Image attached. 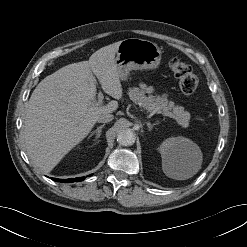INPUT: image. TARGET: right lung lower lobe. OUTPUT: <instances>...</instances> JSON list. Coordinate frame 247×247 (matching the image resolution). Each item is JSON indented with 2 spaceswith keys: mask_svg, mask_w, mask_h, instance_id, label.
Listing matches in <instances>:
<instances>
[{
  "mask_svg": "<svg viewBox=\"0 0 247 247\" xmlns=\"http://www.w3.org/2000/svg\"><path fill=\"white\" fill-rule=\"evenodd\" d=\"M54 181H58V182H64V183H71V182H79V181H83L85 179V177H80V178H71V179H56V178H51Z\"/></svg>",
  "mask_w": 247,
  "mask_h": 247,
  "instance_id": "obj_1",
  "label": "right lung lower lobe"
}]
</instances>
